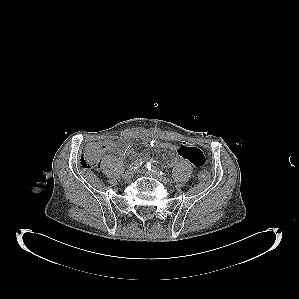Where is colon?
<instances>
[{
  "mask_svg": "<svg viewBox=\"0 0 299 299\" xmlns=\"http://www.w3.org/2000/svg\"><path fill=\"white\" fill-rule=\"evenodd\" d=\"M104 143H91L87 146L84 154L80 158V165L86 169H98L100 167V156L105 151ZM199 178L205 181L209 178L206 170L199 172Z\"/></svg>",
  "mask_w": 299,
  "mask_h": 299,
  "instance_id": "5ec220e1",
  "label": "colon"
}]
</instances>
